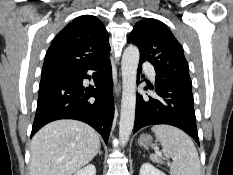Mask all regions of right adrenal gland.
<instances>
[{
  "label": "right adrenal gland",
  "instance_id": "obj_1",
  "mask_svg": "<svg viewBox=\"0 0 233 175\" xmlns=\"http://www.w3.org/2000/svg\"><path fill=\"white\" fill-rule=\"evenodd\" d=\"M98 154H99V155H102V152H101V150H100V146H99V149H98Z\"/></svg>",
  "mask_w": 233,
  "mask_h": 175
}]
</instances>
